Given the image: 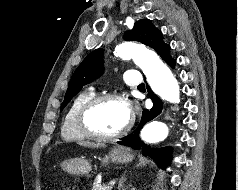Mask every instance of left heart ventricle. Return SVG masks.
<instances>
[{
  "mask_svg": "<svg viewBox=\"0 0 238 190\" xmlns=\"http://www.w3.org/2000/svg\"><path fill=\"white\" fill-rule=\"evenodd\" d=\"M129 119L127 106L118 100H109L100 104L90 115L89 123L93 129L104 134H113L121 130Z\"/></svg>",
  "mask_w": 238,
  "mask_h": 190,
  "instance_id": "left-heart-ventricle-1",
  "label": "left heart ventricle"
}]
</instances>
